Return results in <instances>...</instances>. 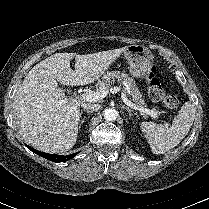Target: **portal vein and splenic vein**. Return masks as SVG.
Returning <instances> with one entry per match:
<instances>
[{
    "mask_svg": "<svg viewBox=\"0 0 209 209\" xmlns=\"http://www.w3.org/2000/svg\"><path fill=\"white\" fill-rule=\"evenodd\" d=\"M119 90H120V88H118V87L111 88L110 90L104 88V89H100L99 91H96V92H93V93L82 94L80 96V99H82L84 101H87V102H96V101H99V100L105 98L109 94V91L111 93H116ZM121 97H122L123 102L126 105H128L129 107H131V108H133L135 110H138V111H140L143 114H147V115H149V116H151L153 118H158V114L155 111L147 109V108H144V107H139L136 104L132 103L126 97V94L124 92L121 93ZM166 125H168V124L166 123Z\"/></svg>",
    "mask_w": 209,
    "mask_h": 209,
    "instance_id": "portal-vein-and-splenic-vein-1",
    "label": "portal vein and splenic vein"
}]
</instances>
